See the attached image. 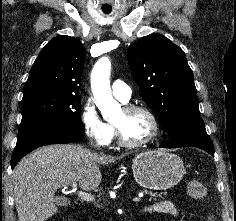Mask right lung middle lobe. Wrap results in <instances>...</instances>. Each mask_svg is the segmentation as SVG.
<instances>
[{
    "label": "right lung middle lobe",
    "instance_id": "obj_1",
    "mask_svg": "<svg viewBox=\"0 0 236 221\" xmlns=\"http://www.w3.org/2000/svg\"><path fill=\"white\" fill-rule=\"evenodd\" d=\"M78 94L36 91L23 95L21 127L37 122H50L73 129H83Z\"/></svg>",
    "mask_w": 236,
    "mask_h": 221
}]
</instances>
